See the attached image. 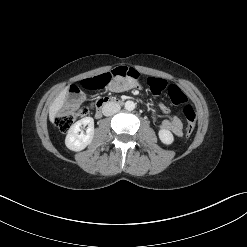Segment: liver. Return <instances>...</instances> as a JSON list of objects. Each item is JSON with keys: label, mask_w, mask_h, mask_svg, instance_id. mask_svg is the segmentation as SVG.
I'll use <instances>...</instances> for the list:
<instances>
[{"label": "liver", "mask_w": 247, "mask_h": 247, "mask_svg": "<svg viewBox=\"0 0 247 247\" xmlns=\"http://www.w3.org/2000/svg\"><path fill=\"white\" fill-rule=\"evenodd\" d=\"M67 92H68V87L63 89L59 93V95L55 98L53 103L51 104V106L49 108V119H50L51 123H54L57 113L63 107L65 99H66Z\"/></svg>", "instance_id": "1"}]
</instances>
